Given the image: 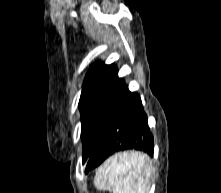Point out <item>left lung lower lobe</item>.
Returning <instances> with one entry per match:
<instances>
[{
	"mask_svg": "<svg viewBox=\"0 0 221 193\" xmlns=\"http://www.w3.org/2000/svg\"><path fill=\"white\" fill-rule=\"evenodd\" d=\"M108 116V126L87 160L85 173L119 151L135 149L153 156V135L140 96L130 92L124 81Z\"/></svg>",
	"mask_w": 221,
	"mask_h": 193,
	"instance_id": "1",
	"label": "left lung lower lobe"
}]
</instances>
